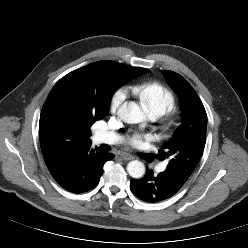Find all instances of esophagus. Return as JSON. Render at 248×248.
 <instances>
[{"instance_id":"esophagus-1","label":"esophagus","mask_w":248,"mask_h":248,"mask_svg":"<svg viewBox=\"0 0 248 248\" xmlns=\"http://www.w3.org/2000/svg\"><path fill=\"white\" fill-rule=\"evenodd\" d=\"M117 155H118V157H120L121 159H123L125 161H129V160L133 159L132 155L125 153V152H119Z\"/></svg>"}]
</instances>
